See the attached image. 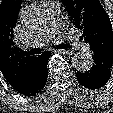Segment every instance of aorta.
<instances>
[{"label":"aorta","instance_id":"1","mask_svg":"<svg viewBox=\"0 0 113 113\" xmlns=\"http://www.w3.org/2000/svg\"><path fill=\"white\" fill-rule=\"evenodd\" d=\"M93 61L89 53L78 52L72 57V66L79 72H87L92 68Z\"/></svg>","mask_w":113,"mask_h":113}]
</instances>
